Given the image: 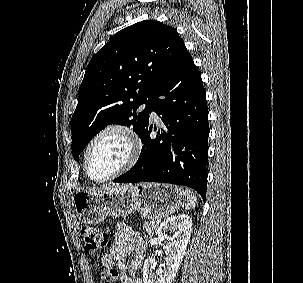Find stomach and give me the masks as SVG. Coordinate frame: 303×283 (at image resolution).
<instances>
[{"label": "stomach", "mask_w": 303, "mask_h": 283, "mask_svg": "<svg viewBox=\"0 0 303 283\" xmlns=\"http://www.w3.org/2000/svg\"><path fill=\"white\" fill-rule=\"evenodd\" d=\"M185 199L181 188L169 184L141 183L108 188L102 192L80 191L73 196L78 219L98 224L109 217L139 212L147 219H161L176 212Z\"/></svg>", "instance_id": "stomach-1"}]
</instances>
